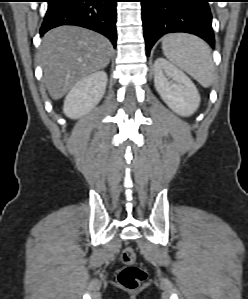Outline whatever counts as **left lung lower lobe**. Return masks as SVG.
<instances>
[{"mask_svg":"<svg viewBox=\"0 0 248 299\" xmlns=\"http://www.w3.org/2000/svg\"><path fill=\"white\" fill-rule=\"evenodd\" d=\"M209 0H141L147 55L164 34L186 32L215 46Z\"/></svg>","mask_w":248,"mask_h":299,"instance_id":"left-lung-lower-lobe-1","label":"left lung lower lobe"}]
</instances>
